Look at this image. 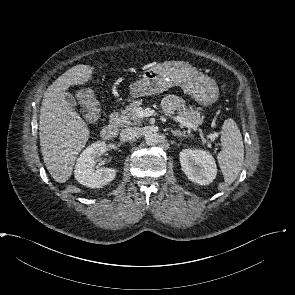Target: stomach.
<instances>
[{"label":"stomach","instance_id":"0dacf381","mask_svg":"<svg viewBox=\"0 0 295 295\" xmlns=\"http://www.w3.org/2000/svg\"><path fill=\"white\" fill-rule=\"evenodd\" d=\"M173 86H180L204 106L215 103L219 97L215 80L183 61H168L146 69L142 78L130 86V95L133 98L152 96Z\"/></svg>","mask_w":295,"mask_h":295}]
</instances>
